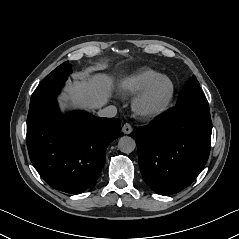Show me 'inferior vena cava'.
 <instances>
[{
	"label": "inferior vena cava",
	"mask_w": 239,
	"mask_h": 239,
	"mask_svg": "<svg viewBox=\"0 0 239 239\" xmlns=\"http://www.w3.org/2000/svg\"><path fill=\"white\" fill-rule=\"evenodd\" d=\"M117 114V108L113 105L107 106L98 112L100 117H114Z\"/></svg>",
	"instance_id": "602c4592"
}]
</instances>
